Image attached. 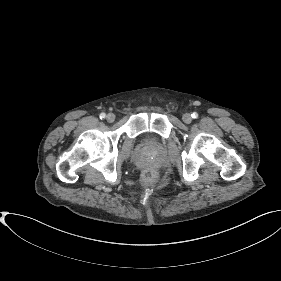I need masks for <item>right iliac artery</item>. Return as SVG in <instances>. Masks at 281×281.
I'll return each instance as SVG.
<instances>
[{"mask_svg": "<svg viewBox=\"0 0 281 281\" xmlns=\"http://www.w3.org/2000/svg\"><path fill=\"white\" fill-rule=\"evenodd\" d=\"M106 117V114L105 113H101L100 114V119H104Z\"/></svg>", "mask_w": 281, "mask_h": 281, "instance_id": "right-iliac-artery-1", "label": "right iliac artery"}]
</instances>
